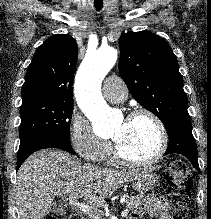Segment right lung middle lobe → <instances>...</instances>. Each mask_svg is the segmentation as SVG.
Segmentation results:
<instances>
[{
  "label": "right lung middle lobe",
  "instance_id": "1",
  "mask_svg": "<svg viewBox=\"0 0 211 219\" xmlns=\"http://www.w3.org/2000/svg\"><path fill=\"white\" fill-rule=\"evenodd\" d=\"M73 101L34 98L22 102L20 146L38 138H55L70 143Z\"/></svg>",
  "mask_w": 211,
  "mask_h": 219
}]
</instances>
